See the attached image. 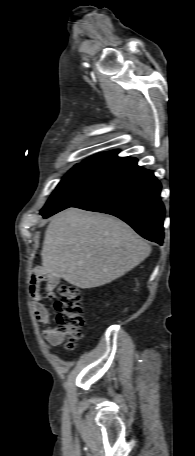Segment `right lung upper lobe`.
<instances>
[{
  "mask_svg": "<svg viewBox=\"0 0 195 456\" xmlns=\"http://www.w3.org/2000/svg\"><path fill=\"white\" fill-rule=\"evenodd\" d=\"M117 150L110 151V152H103L91 156L85 159L82 163L103 166V167H111V168H119L122 170H126L133 165L137 164V159L133 157H118Z\"/></svg>",
  "mask_w": 195,
  "mask_h": 456,
  "instance_id": "1",
  "label": "right lung upper lobe"
}]
</instances>
